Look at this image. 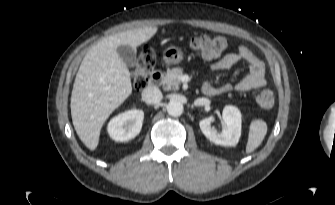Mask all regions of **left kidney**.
Here are the masks:
<instances>
[{
	"label": "left kidney",
	"instance_id": "5707ae66",
	"mask_svg": "<svg viewBox=\"0 0 335 205\" xmlns=\"http://www.w3.org/2000/svg\"><path fill=\"white\" fill-rule=\"evenodd\" d=\"M224 122L223 129L218 132L211 127L214 117H208L200 121L202 133L211 142L222 146H236L241 136V113L235 106L227 105L222 112Z\"/></svg>",
	"mask_w": 335,
	"mask_h": 205
}]
</instances>
